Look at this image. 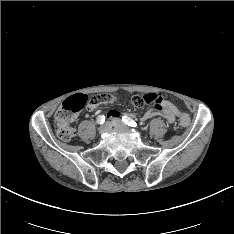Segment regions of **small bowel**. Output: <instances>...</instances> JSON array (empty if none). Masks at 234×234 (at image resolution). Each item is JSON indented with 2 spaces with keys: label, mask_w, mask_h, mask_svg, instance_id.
Listing matches in <instances>:
<instances>
[{
  "label": "small bowel",
  "mask_w": 234,
  "mask_h": 234,
  "mask_svg": "<svg viewBox=\"0 0 234 234\" xmlns=\"http://www.w3.org/2000/svg\"><path fill=\"white\" fill-rule=\"evenodd\" d=\"M103 104L112 103L114 101V97L111 95H101L99 96ZM179 109L170 101L163 100L159 107H154L151 110L146 111L142 115V120H149L158 115L164 117L168 123H173L175 119L179 116ZM120 113L116 110H111L108 113V117L114 118L119 117Z\"/></svg>",
  "instance_id": "c3829d8e"
}]
</instances>
